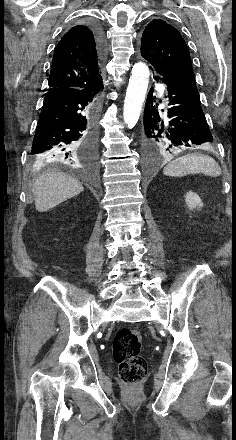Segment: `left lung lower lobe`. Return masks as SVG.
Masks as SVG:
<instances>
[{
    "label": "left lung lower lobe",
    "mask_w": 236,
    "mask_h": 440,
    "mask_svg": "<svg viewBox=\"0 0 236 440\" xmlns=\"http://www.w3.org/2000/svg\"><path fill=\"white\" fill-rule=\"evenodd\" d=\"M154 79L167 85L171 107L163 114L164 110H158L153 91H149L143 121V142L148 154L153 156L156 152L164 151L175 153L212 142L194 74L156 73Z\"/></svg>",
    "instance_id": "0a47b994"
}]
</instances>
